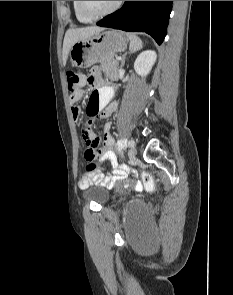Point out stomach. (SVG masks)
Instances as JSON below:
<instances>
[{"mask_svg":"<svg viewBox=\"0 0 233 295\" xmlns=\"http://www.w3.org/2000/svg\"><path fill=\"white\" fill-rule=\"evenodd\" d=\"M128 41L121 31L102 30L72 45L69 52L71 63L78 68H88L95 63L111 61L116 53L127 48Z\"/></svg>","mask_w":233,"mask_h":295,"instance_id":"stomach-1","label":"stomach"}]
</instances>
